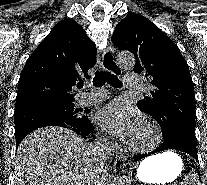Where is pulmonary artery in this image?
<instances>
[{
	"label": "pulmonary artery",
	"instance_id": "e3ab8cb5",
	"mask_svg": "<svg viewBox=\"0 0 207 185\" xmlns=\"http://www.w3.org/2000/svg\"><path fill=\"white\" fill-rule=\"evenodd\" d=\"M124 82L127 85V91H140L141 81L140 77H124ZM109 95L106 90H101L97 92H88L83 96L84 104H91L96 102H101L105 100Z\"/></svg>",
	"mask_w": 207,
	"mask_h": 185
}]
</instances>
